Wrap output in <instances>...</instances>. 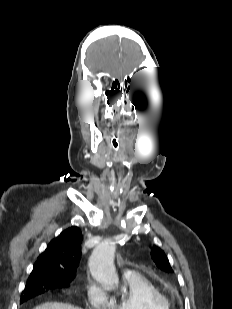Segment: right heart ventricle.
I'll return each instance as SVG.
<instances>
[{
    "label": "right heart ventricle",
    "mask_w": 232,
    "mask_h": 309,
    "mask_svg": "<svg viewBox=\"0 0 232 309\" xmlns=\"http://www.w3.org/2000/svg\"><path fill=\"white\" fill-rule=\"evenodd\" d=\"M107 309H170V304L151 280L131 272L123 275L122 290L109 299Z\"/></svg>",
    "instance_id": "right-heart-ventricle-1"
}]
</instances>
